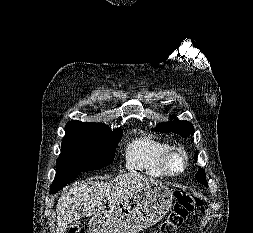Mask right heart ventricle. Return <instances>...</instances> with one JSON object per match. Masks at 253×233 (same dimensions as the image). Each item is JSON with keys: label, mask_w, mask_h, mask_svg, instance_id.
<instances>
[{"label": "right heart ventricle", "mask_w": 253, "mask_h": 233, "mask_svg": "<svg viewBox=\"0 0 253 233\" xmlns=\"http://www.w3.org/2000/svg\"><path fill=\"white\" fill-rule=\"evenodd\" d=\"M169 150L166 143L148 134H141L127 144L124 151L125 165L133 171L152 177H162L166 175L162 159Z\"/></svg>", "instance_id": "right-heart-ventricle-1"}]
</instances>
